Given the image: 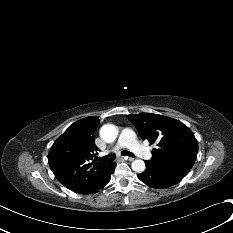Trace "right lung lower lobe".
<instances>
[{
	"label": "right lung lower lobe",
	"mask_w": 233,
	"mask_h": 233,
	"mask_svg": "<svg viewBox=\"0 0 233 233\" xmlns=\"http://www.w3.org/2000/svg\"><path fill=\"white\" fill-rule=\"evenodd\" d=\"M115 166H116V163L111 164V167L107 171L104 178L99 183H97V185L92 189L90 193H94V192L96 193L98 192V190L102 189L104 186L108 184V182L110 181V176L114 172Z\"/></svg>",
	"instance_id": "1"
}]
</instances>
